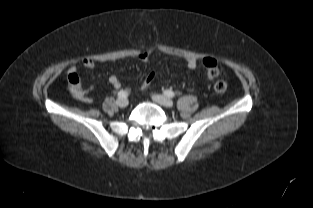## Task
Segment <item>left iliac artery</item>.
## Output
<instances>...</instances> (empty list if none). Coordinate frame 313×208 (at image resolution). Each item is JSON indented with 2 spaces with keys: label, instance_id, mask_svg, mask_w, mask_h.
I'll return each instance as SVG.
<instances>
[{
  "label": "left iliac artery",
  "instance_id": "left-iliac-artery-1",
  "mask_svg": "<svg viewBox=\"0 0 313 208\" xmlns=\"http://www.w3.org/2000/svg\"><path fill=\"white\" fill-rule=\"evenodd\" d=\"M164 94L169 98H173L175 96L174 92L171 90H165Z\"/></svg>",
  "mask_w": 313,
  "mask_h": 208
}]
</instances>
